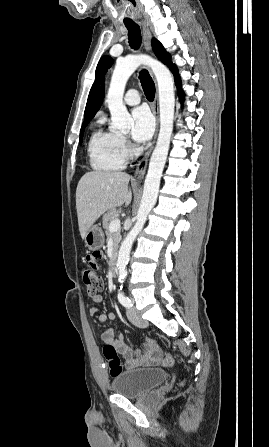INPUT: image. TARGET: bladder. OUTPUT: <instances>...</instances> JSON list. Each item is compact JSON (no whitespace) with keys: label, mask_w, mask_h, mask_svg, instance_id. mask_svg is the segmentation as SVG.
<instances>
[{"label":"bladder","mask_w":269,"mask_h":447,"mask_svg":"<svg viewBox=\"0 0 269 447\" xmlns=\"http://www.w3.org/2000/svg\"><path fill=\"white\" fill-rule=\"evenodd\" d=\"M168 377V371L160 368L121 371L115 374L111 382V390L113 394L136 398L165 382Z\"/></svg>","instance_id":"bladder-1"}]
</instances>
